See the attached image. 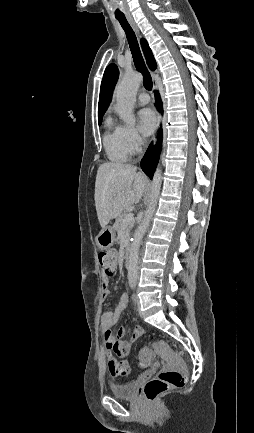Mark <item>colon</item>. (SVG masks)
Instances as JSON below:
<instances>
[{
    "mask_svg": "<svg viewBox=\"0 0 254 433\" xmlns=\"http://www.w3.org/2000/svg\"><path fill=\"white\" fill-rule=\"evenodd\" d=\"M99 263L107 276H113L117 272L116 252L113 250L100 252ZM144 330L141 328L139 334L142 336ZM140 336V337H141ZM152 361V355L144 351L140 355V364L146 366ZM186 380V366L176 359L172 364L162 370L159 375L148 381L143 387V394L148 400H155L163 393L184 386Z\"/></svg>",
    "mask_w": 254,
    "mask_h": 433,
    "instance_id": "1",
    "label": "colon"
}]
</instances>
